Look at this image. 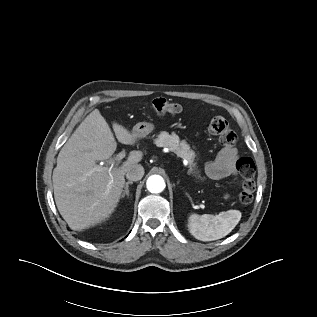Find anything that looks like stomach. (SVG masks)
I'll use <instances>...</instances> for the list:
<instances>
[{
	"mask_svg": "<svg viewBox=\"0 0 317 317\" xmlns=\"http://www.w3.org/2000/svg\"><path fill=\"white\" fill-rule=\"evenodd\" d=\"M154 129H155V126L153 123L139 122L134 126L133 132L138 135V138H144L149 133H151Z\"/></svg>",
	"mask_w": 317,
	"mask_h": 317,
	"instance_id": "obj_1",
	"label": "stomach"
}]
</instances>
